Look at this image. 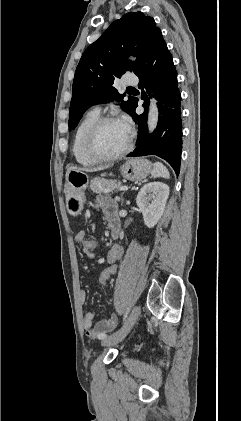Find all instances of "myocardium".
<instances>
[{"instance_id":"1","label":"myocardium","mask_w":241,"mask_h":421,"mask_svg":"<svg viewBox=\"0 0 241 421\" xmlns=\"http://www.w3.org/2000/svg\"><path fill=\"white\" fill-rule=\"evenodd\" d=\"M119 121L114 116L99 117L89 128L85 137V150L87 154L96 161L106 162L119 159L126 155L132 148L133 145V132L129 130L128 141L123 149L114 154H104L97 148V136L100 129L107 123Z\"/></svg>"}]
</instances>
